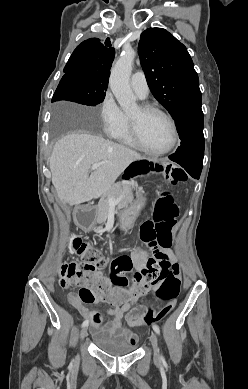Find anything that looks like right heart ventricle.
<instances>
[{"mask_svg": "<svg viewBox=\"0 0 248 389\" xmlns=\"http://www.w3.org/2000/svg\"><path fill=\"white\" fill-rule=\"evenodd\" d=\"M113 137L127 146L139 148L130 134L129 115L127 114H124L123 124Z\"/></svg>", "mask_w": 248, "mask_h": 389, "instance_id": "e07e8e85", "label": "right heart ventricle"}]
</instances>
